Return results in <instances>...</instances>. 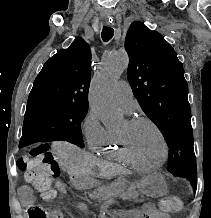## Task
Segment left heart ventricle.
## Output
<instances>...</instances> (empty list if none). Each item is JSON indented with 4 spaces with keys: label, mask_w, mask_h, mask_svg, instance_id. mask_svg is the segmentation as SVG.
<instances>
[{
    "label": "left heart ventricle",
    "mask_w": 211,
    "mask_h": 218,
    "mask_svg": "<svg viewBox=\"0 0 211 218\" xmlns=\"http://www.w3.org/2000/svg\"><path fill=\"white\" fill-rule=\"evenodd\" d=\"M120 132L128 136L129 146L134 156L141 162L156 164L162 159V146L157 132L147 123L129 127L123 124Z\"/></svg>",
    "instance_id": "left-heart-ventricle-1"
}]
</instances>
